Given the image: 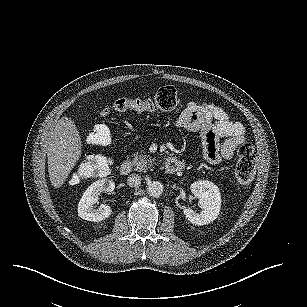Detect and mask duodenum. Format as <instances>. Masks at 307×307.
Segmentation results:
<instances>
[{
	"instance_id": "410a0bca",
	"label": "duodenum",
	"mask_w": 307,
	"mask_h": 307,
	"mask_svg": "<svg viewBox=\"0 0 307 307\" xmlns=\"http://www.w3.org/2000/svg\"><path fill=\"white\" fill-rule=\"evenodd\" d=\"M184 165L181 161L175 158H169L164 164V169L167 174H175L183 169ZM132 171V164L130 161H123L120 165V173L128 175Z\"/></svg>"
}]
</instances>
